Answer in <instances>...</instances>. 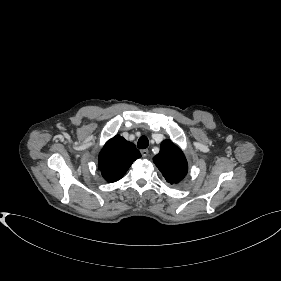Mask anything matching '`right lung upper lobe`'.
<instances>
[{"mask_svg": "<svg viewBox=\"0 0 281 281\" xmlns=\"http://www.w3.org/2000/svg\"><path fill=\"white\" fill-rule=\"evenodd\" d=\"M141 157L135 145L116 135L106 142L99 154L98 167L108 182L121 179L131 164Z\"/></svg>", "mask_w": 281, "mask_h": 281, "instance_id": "obj_1", "label": "right lung upper lobe"}]
</instances>
